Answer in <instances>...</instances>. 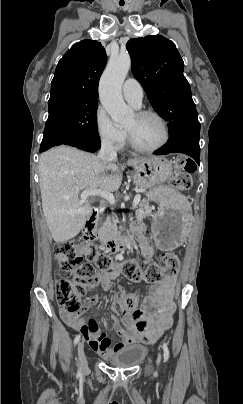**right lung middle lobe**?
Wrapping results in <instances>:
<instances>
[{
	"mask_svg": "<svg viewBox=\"0 0 243 404\" xmlns=\"http://www.w3.org/2000/svg\"><path fill=\"white\" fill-rule=\"evenodd\" d=\"M98 101L62 102L49 106L40 152L73 138L100 141L97 131Z\"/></svg>",
	"mask_w": 243,
	"mask_h": 404,
	"instance_id": "1",
	"label": "right lung middle lobe"
}]
</instances>
